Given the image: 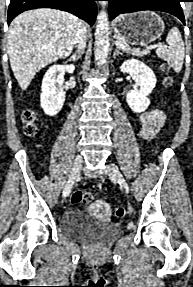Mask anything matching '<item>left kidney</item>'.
Returning a JSON list of instances; mask_svg holds the SVG:
<instances>
[{
    "label": "left kidney",
    "mask_w": 193,
    "mask_h": 287,
    "mask_svg": "<svg viewBox=\"0 0 193 287\" xmlns=\"http://www.w3.org/2000/svg\"><path fill=\"white\" fill-rule=\"evenodd\" d=\"M122 73H128L140 86L139 90H132L127 93L126 101L132 111L144 112L150 105L148 96L156 85V77L153 71L143 62L137 59H129L120 66Z\"/></svg>",
    "instance_id": "obj_1"
}]
</instances>
